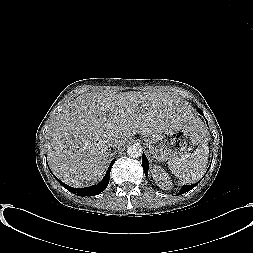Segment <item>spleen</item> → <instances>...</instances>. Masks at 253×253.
<instances>
[{
  "mask_svg": "<svg viewBox=\"0 0 253 253\" xmlns=\"http://www.w3.org/2000/svg\"><path fill=\"white\" fill-rule=\"evenodd\" d=\"M208 154L209 147L205 140L200 146H198L191 157H174L169 159L168 166L171 172L179 180L185 183L195 182L200 179L206 171Z\"/></svg>",
  "mask_w": 253,
  "mask_h": 253,
  "instance_id": "spleen-1",
  "label": "spleen"
}]
</instances>
